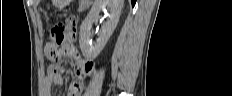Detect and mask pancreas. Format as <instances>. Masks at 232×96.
Wrapping results in <instances>:
<instances>
[{
  "mask_svg": "<svg viewBox=\"0 0 232 96\" xmlns=\"http://www.w3.org/2000/svg\"><path fill=\"white\" fill-rule=\"evenodd\" d=\"M89 5L90 4H84V3L80 4L79 5V11L80 12L85 11L88 8Z\"/></svg>",
  "mask_w": 232,
  "mask_h": 96,
  "instance_id": "cf45deb5",
  "label": "pancreas"
}]
</instances>
